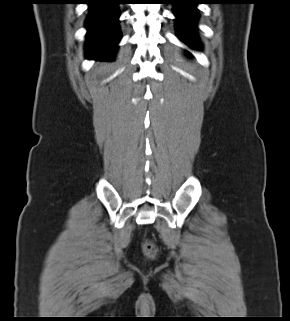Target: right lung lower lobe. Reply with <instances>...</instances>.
Here are the masks:
<instances>
[{"instance_id":"right-lung-lower-lobe-1","label":"right lung lower lobe","mask_w":290,"mask_h":321,"mask_svg":"<svg viewBox=\"0 0 290 321\" xmlns=\"http://www.w3.org/2000/svg\"><path fill=\"white\" fill-rule=\"evenodd\" d=\"M119 3L120 0H89L90 14L86 22L87 58L112 60L121 39L118 25Z\"/></svg>"}]
</instances>
